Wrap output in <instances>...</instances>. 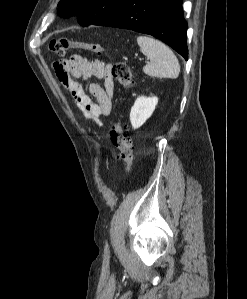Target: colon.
I'll list each match as a JSON object with an SVG mask.
<instances>
[{
	"instance_id": "colon-1",
	"label": "colon",
	"mask_w": 247,
	"mask_h": 299,
	"mask_svg": "<svg viewBox=\"0 0 247 299\" xmlns=\"http://www.w3.org/2000/svg\"><path fill=\"white\" fill-rule=\"evenodd\" d=\"M73 48L87 50L96 55L105 53V49L99 44L66 37L52 39L48 44L49 51L59 56H63L68 50ZM110 75L126 90L132 86V72L127 63L123 61L114 63L110 69ZM109 135L113 146L120 152V158L126 164V171L130 172L134 161V151L127 134L126 124L119 120L114 121L110 126Z\"/></svg>"
}]
</instances>
